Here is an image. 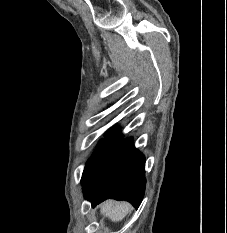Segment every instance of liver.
<instances>
[{"label":"liver","instance_id":"1","mask_svg":"<svg viewBox=\"0 0 227 233\" xmlns=\"http://www.w3.org/2000/svg\"><path fill=\"white\" fill-rule=\"evenodd\" d=\"M101 214L108 217L112 222H119L125 218L131 209L127 202H115L109 200L100 206Z\"/></svg>","mask_w":227,"mask_h":233}]
</instances>
